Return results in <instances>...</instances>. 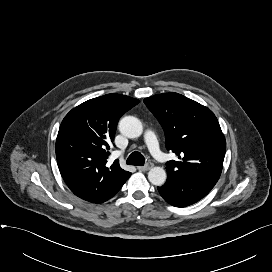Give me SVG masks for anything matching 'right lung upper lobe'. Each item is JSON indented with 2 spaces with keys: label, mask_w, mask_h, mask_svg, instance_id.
<instances>
[{
  "label": "right lung upper lobe",
  "mask_w": 272,
  "mask_h": 272,
  "mask_svg": "<svg viewBox=\"0 0 272 272\" xmlns=\"http://www.w3.org/2000/svg\"><path fill=\"white\" fill-rule=\"evenodd\" d=\"M138 103L126 95L107 94L80 104L63 119L56 139L57 164L79 198L102 203L130 177L118 160L110 166L107 159L119 118Z\"/></svg>",
  "instance_id": "1"
}]
</instances>
